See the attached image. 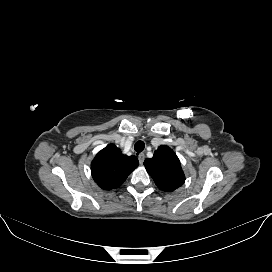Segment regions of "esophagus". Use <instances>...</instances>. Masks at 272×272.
<instances>
[{"mask_svg":"<svg viewBox=\"0 0 272 272\" xmlns=\"http://www.w3.org/2000/svg\"><path fill=\"white\" fill-rule=\"evenodd\" d=\"M138 160H139V163L142 165L144 160H145V154L144 153H140L138 155Z\"/></svg>","mask_w":272,"mask_h":272,"instance_id":"obj_1","label":"esophagus"}]
</instances>
